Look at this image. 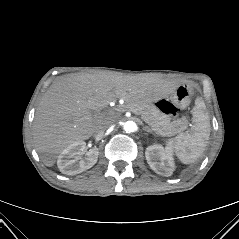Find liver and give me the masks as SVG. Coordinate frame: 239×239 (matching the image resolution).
<instances>
[{
    "instance_id": "1",
    "label": "liver",
    "mask_w": 239,
    "mask_h": 239,
    "mask_svg": "<svg viewBox=\"0 0 239 239\" xmlns=\"http://www.w3.org/2000/svg\"><path fill=\"white\" fill-rule=\"evenodd\" d=\"M172 85L144 76L110 74H69L55 80L39 103L33 139L42 162L52 167L69 145L91 137L108 119L98 120L99 111L116 99L125 103H150L168 93Z\"/></svg>"
}]
</instances>
